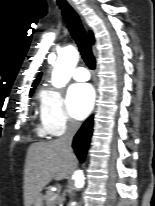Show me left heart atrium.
Returning <instances> with one entry per match:
<instances>
[{
	"mask_svg": "<svg viewBox=\"0 0 155 206\" xmlns=\"http://www.w3.org/2000/svg\"><path fill=\"white\" fill-rule=\"evenodd\" d=\"M94 90L89 84H75L68 91V106L72 115L84 118L92 109Z\"/></svg>",
	"mask_w": 155,
	"mask_h": 206,
	"instance_id": "1",
	"label": "left heart atrium"
}]
</instances>
